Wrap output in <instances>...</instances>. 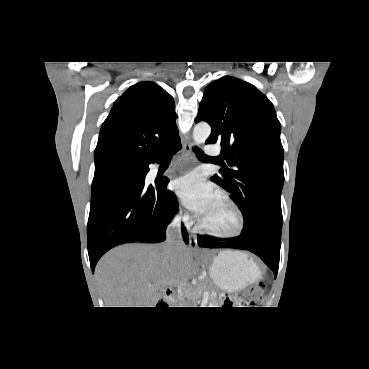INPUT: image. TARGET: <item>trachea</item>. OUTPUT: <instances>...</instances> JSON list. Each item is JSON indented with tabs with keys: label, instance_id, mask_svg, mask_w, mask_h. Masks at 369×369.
<instances>
[{
	"label": "trachea",
	"instance_id": "trachea-1",
	"mask_svg": "<svg viewBox=\"0 0 369 369\" xmlns=\"http://www.w3.org/2000/svg\"><path fill=\"white\" fill-rule=\"evenodd\" d=\"M194 152H195V154H196V156L198 157V158H209L207 155H205L204 153H203V151L200 149V148H198V147H195L194 148Z\"/></svg>",
	"mask_w": 369,
	"mask_h": 369
}]
</instances>
